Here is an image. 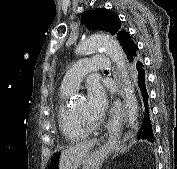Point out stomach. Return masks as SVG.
Returning <instances> with one entry per match:
<instances>
[{
	"mask_svg": "<svg viewBox=\"0 0 177 169\" xmlns=\"http://www.w3.org/2000/svg\"><path fill=\"white\" fill-rule=\"evenodd\" d=\"M110 151L111 147L108 145L99 146L83 158L80 169H100ZM60 155L55 154L51 158L48 169H58Z\"/></svg>",
	"mask_w": 177,
	"mask_h": 169,
	"instance_id": "0dacf381",
	"label": "stomach"
}]
</instances>
